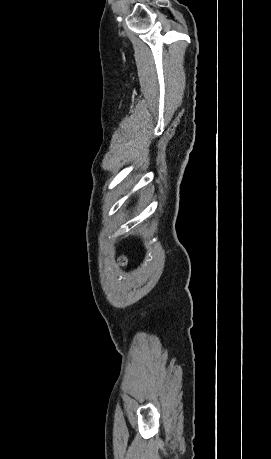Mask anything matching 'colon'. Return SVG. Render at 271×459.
Returning a JSON list of instances; mask_svg holds the SVG:
<instances>
[{
	"instance_id": "colon-1",
	"label": "colon",
	"mask_w": 271,
	"mask_h": 459,
	"mask_svg": "<svg viewBox=\"0 0 271 459\" xmlns=\"http://www.w3.org/2000/svg\"><path fill=\"white\" fill-rule=\"evenodd\" d=\"M120 262H121L122 264H124V263L126 262V259H125L124 257H121V258H120Z\"/></svg>"
}]
</instances>
